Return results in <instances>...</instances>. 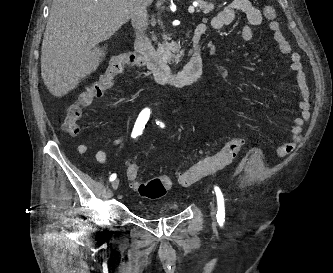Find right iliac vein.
Masks as SVG:
<instances>
[{"label": "right iliac vein", "instance_id": "1", "mask_svg": "<svg viewBox=\"0 0 333 273\" xmlns=\"http://www.w3.org/2000/svg\"><path fill=\"white\" fill-rule=\"evenodd\" d=\"M119 186V179H115L113 182H112V189L113 190H116Z\"/></svg>", "mask_w": 333, "mask_h": 273}]
</instances>
